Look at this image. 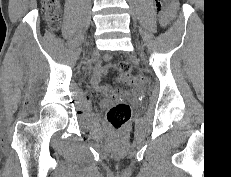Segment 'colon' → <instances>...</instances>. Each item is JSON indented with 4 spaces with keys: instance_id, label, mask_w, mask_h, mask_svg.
<instances>
[{
    "instance_id": "obj_1",
    "label": "colon",
    "mask_w": 231,
    "mask_h": 177,
    "mask_svg": "<svg viewBox=\"0 0 231 177\" xmlns=\"http://www.w3.org/2000/svg\"><path fill=\"white\" fill-rule=\"evenodd\" d=\"M173 0H157L156 6L158 13L166 16L165 5H172ZM42 7L45 14L46 22L50 29L55 30L59 27L61 22L60 9L61 0H42ZM119 72L122 75L130 76L132 66L127 61H122L118 66ZM131 116L130 106L122 101L116 102L107 111V120L109 124L115 129L121 128Z\"/></svg>"
}]
</instances>
